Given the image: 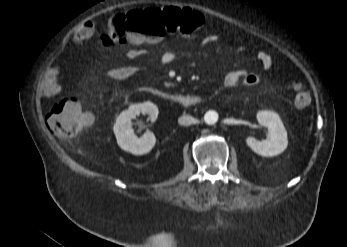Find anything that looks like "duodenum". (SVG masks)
<instances>
[{
	"mask_svg": "<svg viewBox=\"0 0 347 247\" xmlns=\"http://www.w3.org/2000/svg\"><path fill=\"white\" fill-rule=\"evenodd\" d=\"M153 94L183 107H192L201 103V97L195 94H171L160 90H156Z\"/></svg>",
	"mask_w": 347,
	"mask_h": 247,
	"instance_id": "duodenum-1",
	"label": "duodenum"
}]
</instances>
